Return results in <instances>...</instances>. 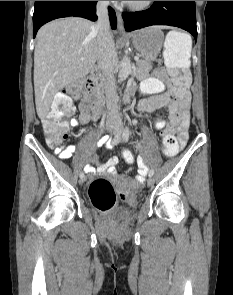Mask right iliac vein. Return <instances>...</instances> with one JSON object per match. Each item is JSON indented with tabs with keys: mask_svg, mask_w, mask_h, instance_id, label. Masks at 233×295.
I'll list each match as a JSON object with an SVG mask.
<instances>
[{
	"mask_svg": "<svg viewBox=\"0 0 233 295\" xmlns=\"http://www.w3.org/2000/svg\"><path fill=\"white\" fill-rule=\"evenodd\" d=\"M107 130H108L109 132H111V133L117 134V128H115V127H113V126H109V127L107 128ZM85 180H86V177H85V176L80 177V179H79V184H83V183L85 182Z\"/></svg>",
	"mask_w": 233,
	"mask_h": 295,
	"instance_id": "right-iliac-vein-1",
	"label": "right iliac vein"
}]
</instances>
